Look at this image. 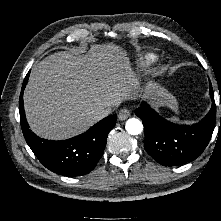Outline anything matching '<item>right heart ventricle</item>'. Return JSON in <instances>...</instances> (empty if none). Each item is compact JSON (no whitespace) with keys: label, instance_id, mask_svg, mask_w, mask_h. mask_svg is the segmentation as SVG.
<instances>
[{"label":"right heart ventricle","instance_id":"1","mask_svg":"<svg viewBox=\"0 0 221 221\" xmlns=\"http://www.w3.org/2000/svg\"><path fill=\"white\" fill-rule=\"evenodd\" d=\"M146 59H147V61H154L155 56H154V55H148V56L146 57Z\"/></svg>","mask_w":221,"mask_h":221}]
</instances>
